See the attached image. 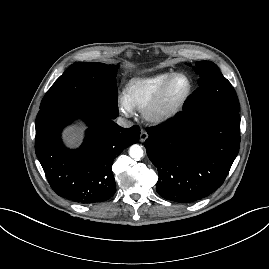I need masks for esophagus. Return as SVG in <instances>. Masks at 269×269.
<instances>
[{"label": "esophagus", "mask_w": 269, "mask_h": 269, "mask_svg": "<svg viewBox=\"0 0 269 269\" xmlns=\"http://www.w3.org/2000/svg\"><path fill=\"white\" fill-rule=\"evenodd\" d=\"M147 138H148V133L142 129L140 133V141L144 142Z\"/></svg>", "instance_id": "obj_1"}]
</instances>
